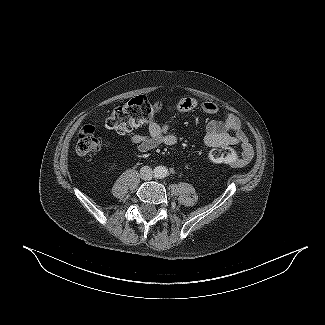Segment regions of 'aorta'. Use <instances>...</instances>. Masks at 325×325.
<instances>
[{"instance_id": "1", "label": "aorta", "mask_w": 325, "mask_h": 325, "mask_svg": "<svg viewBox=\"0 0 325 325\" xmlns=\"http://www.w3.org/2000/svg\"><path fill=\"white\" fill-rule=\"evenodd\" d=\"M154 173H155V177L157 178H164L167 176L168 174V170L165 166H157L155 169H154Z\"/></svg>"}]
</instances>
